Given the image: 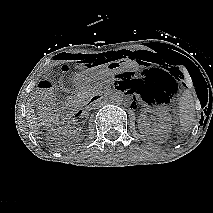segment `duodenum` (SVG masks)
<instances>
[{
	"mask_svg": "<svg viewBox=\"0 0 213 213\" xmlns=\"http://www.w3.org/2000/svg\"><path fill=\"white\" fill-rule=\"evenodd\" d=\"M106 96H107V95H106L105 92H103V93H98V94L94 95V96L91 98V100H90V102H89L88 105H91V104H93V103H95V102H99V101L105 99ZM84 112H85V111H84L83 108L77 107V108L72 109V110L70 111V114H72V115L75 116V117H78V116L84 114Z\"/></svg>",
	"mask_w": 213,
	"mask_h": 213,
	"instance_id": "obj_1",
	"label": "duodenum"
}]
</instances>
